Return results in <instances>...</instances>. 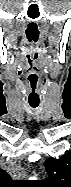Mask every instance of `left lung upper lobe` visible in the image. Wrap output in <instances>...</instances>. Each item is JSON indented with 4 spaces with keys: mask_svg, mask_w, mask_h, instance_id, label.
I'll use <instances>...</instances> for the list:
<instances>
[{
    "mask_svg": "<svg viewBox=\"0 0 71 187\" xmlns=\"http://www.w3.org/2000/svg\"><path fill=\"white\" fill-rule=\"evenodd\" d=\"M50 180L42 181L50 187L71 186V153H65L59 159L50 157L45 162Z\"/></svg>",
    "mask_w": 71,
    "mask_h": 187,
    "instance_id": "left-lung-upper-lobe-1",
    "label": "left lung upper lobe"
}]
</instances>
